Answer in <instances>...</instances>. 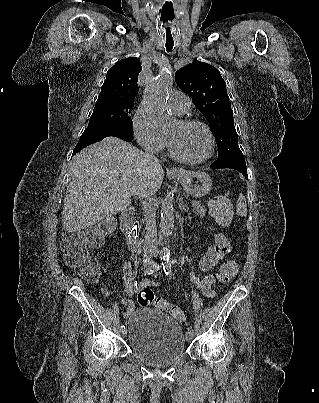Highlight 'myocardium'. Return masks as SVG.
I'll list each match as a JSON object with an SVG mask.
<instances>
[{
    "label": "myocardium",
    "mask_w": 319,
    "mask_h": 403,
    "mask_svg": "<svg viewBox=\"0 0 319 403\" xmlns=\"http://www.w3.org/2000/svg\"><path fill=\"white\" fill-rule=\"evenodd\" d=\"M178 122L182 126L197 125V126H200L201 128H203L205 130L207 136H208V139H209V148H208V151L205 154V156H203L202 158H200V159H188V158L180 155L177 152L176 148L174 147L172 141L169 138H167L170 153H171L172 157L174 159H176L177 161L181 162V163L190 164V165H198V164H202V163L208 161L212 157V155L214 153V150H215V137H214V134H213L211 128L206 123H204L203 121L195 119V118H180L178 120Z\"/></svg>",
    "instance_id": "1"
}]
</instances>
